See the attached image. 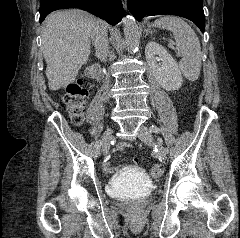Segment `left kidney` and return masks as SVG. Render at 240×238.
<instances>
[{
    "label": "left kidney",
    "instance_id": "obj_1",
    "mask_svg": "<svg viewBox=\"0 0 240 238\" xmlns=\"http://www.w3.org/2000/svg\"><path fill=\"white\" fill-rule=\"evenodd\" d=\"M145 57L153 76L163 89L176 91L181 87L182 74L180 68L164 47L150 41L146 45Z\"/></svg>",
    "mask_w": 240,
    "mask_h": 238
}]
</instances>
